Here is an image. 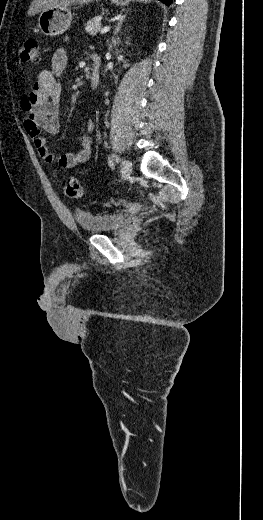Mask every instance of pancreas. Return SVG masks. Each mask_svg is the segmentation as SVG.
Returning <instances> with one entry per match:
<instances>
[{"label":"pancreas","instance_id":"cf45deb5","mask_svg":"<svg viewBox=\"0 0 263 520\" xmlns=\"http://www.w3.org/2000/svg\"><path fill=\"white\" fill-rule=\"evenodd\" d=\"M101 20L102 16H95L89 21H87V23L85 24L86 32H88L90 35H95L96 33H98L101 30Z\"/></svg>","mask_w":263,"mask_h":520}]
</instances>
